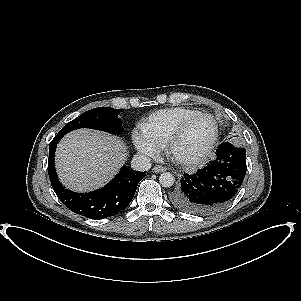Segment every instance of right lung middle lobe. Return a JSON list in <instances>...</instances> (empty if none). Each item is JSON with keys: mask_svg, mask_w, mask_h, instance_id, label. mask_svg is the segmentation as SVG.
Masks as SVG:
<instances>
[{"mask_svg": "<svg viewBox=\"0 0 301 301\" xmlns=\"http://www.w3.org/2000/svg\"><path fill=\"white\" fill-rule=\"evenodd\" d=\"M119 112V109L110 107L91 109L68 122L59 134L65 135L66 133L79 128H91L112 134H120L123 132V128L121 120L117 117Z\"/></svg>", "mask_w": 301, "mask_h": 301, "instance_id": "1", "label": "right lung middle lobe"}]
</instances>
